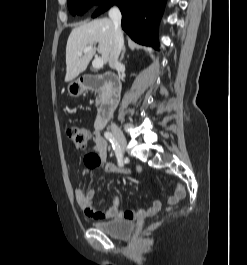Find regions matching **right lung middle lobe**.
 I'll return each instance as SVG.
<instances>
[{"mask_svg": "<svg viewBox=\"0 0 247 265\" xmlns=\"http://www.w3.org/2000/svg\"><path fill=\"white\" fill-rule=\"evenodd\" d=\"M108 0H67L72 15H82L93 5H102Z\"/></svg>", "mask_w": 247, "mask_h": 265, "instance_id": "1", "label": "right lung middle lobe"}]
</instances>
